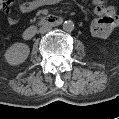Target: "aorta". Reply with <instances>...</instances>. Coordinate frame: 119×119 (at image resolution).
<instances>
[{"label": "aorta", "instance_id": "obj_1", "mask_svg": "<svg viewBox=\"0 0 119 119\" xmlns=\"http://www.w3.org/2000/svg\"><path fill=\"white\" fill-rule=\"evenodd\" d=\"M74 29V23L72 21H65L63 23V30L70 32Z\"/></svg>", "mask_w": 119, "mask_h": 119}]
</instances>
